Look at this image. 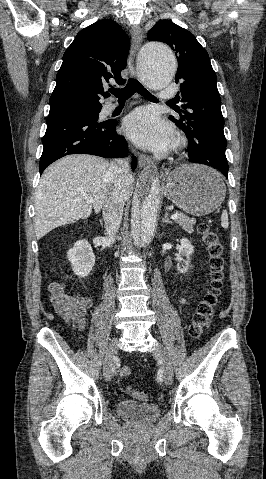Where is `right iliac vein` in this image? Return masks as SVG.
Masks as SVG:
<instances>
[{
  "label": "right iliac vein",
  "mask_w": 266,
  "mask_h": 479,
  "mask_svg": "<svg viewBox=\"0 0 266 479\" xmlns=\"http://www.w3.org/2000/svg\"><path fill=\"white\" fill-rule=\"evenodd\" d=\"M118 345H119V340H118L117 337H114L108 345L107 353H106V357H105L104 368H103V372H104V376H105L106 380H109L112 373H113L114 358H115V356L117 354V351H118Z\"/></svg>",
  "instance_id": "obj_1"
}]
</instances>
